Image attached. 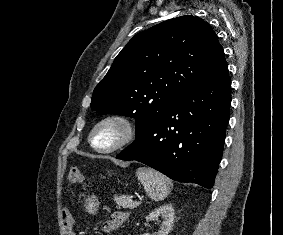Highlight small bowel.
Masks as SVG:
<instances>
[{"mask_svg":"<svg viewBox=\"0 0 283 235\" xmlns=\"http://www.w3.org/2000/svg\"><path fill=\"white\" fill-rule=\"evenodd\" d=\"M128 218L125 212H115L111 218L105 221L102 225V230L106 234L114 233ZM64 226L68 229L69 235H76L72 230V216L68 210L63 212Z\"/></svg>","mask_w":283,"mask_h":235,"instance_id":"obj_1","label":"small bowel"}]
</instances>
